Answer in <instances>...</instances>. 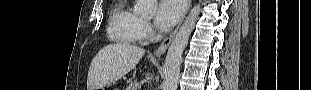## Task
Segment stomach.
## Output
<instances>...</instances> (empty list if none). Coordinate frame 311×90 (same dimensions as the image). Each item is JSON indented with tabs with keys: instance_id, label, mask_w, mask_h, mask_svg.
Wrapping results in <instances>:
<instances>
[{
	"instance_id": "obj_1",
	"label": "stomach",
	"mask_w": 311,
	"mask_h": 90,
	"mask_svg": "<svg viewBox=\"0 0 311 90\" xmlns=\"http://www.w3.org/2000/svg\"><path fill=\"white\" fill-rule=\"evenodd\" d=\"M96 90H105V88L102 86V87H100V88H98Z\"/></svg>"
}]
</instances>
